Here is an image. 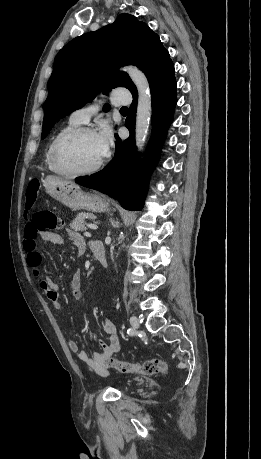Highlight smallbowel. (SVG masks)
<instances>
[{
  "instance_id": "1",
  "label": "small bowel",
  "mask_w": 261,
  "mask_h": 459,
  "mask_svg": "<svg viewBox=\"0 0 261 459\" xmlns=\"http://www.w3.org/2000/svg\"><path fill=\"white\" fill-rule=\"evenodd\" d=\"M69 237L77 246L79 254H83L86 249V243L82 236L75 231H69ZM38 240L50 242L55 245H62L64 243V238L58 233L43 230L37 231L35 238H26L24 233L23 240V247L27 252V264L33 271L34 275L39 278L40 288L55 308L62 311L64 310V305L61 301L57 284L52 280L49 274L40 276L42 255L37 250ZM70 288L75 298L80 299L82 297L79 274H75L73 276ZM103 331L107 338L99 343L101 352H95L92 357H90L86 351L80 350L79 344L76 340L71 339L68 341L70 350L77 353L82 362L100 374H105L107 372L106 360L120 350V342L116 334V328L110 319H105L103 321Z\"/></svg>"
}]
</instances>
